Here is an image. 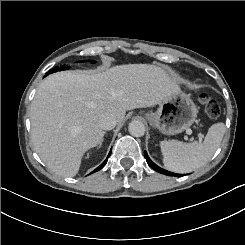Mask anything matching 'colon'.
<instances>
[{"label":"colon","instance_id":"5ec220e1","mask_svg":"<svg viewBox=\"0 0 245 245\" xmlns=\"http://www.w3.org/2000/svg\"><path fill=\"white\" fill-rule=\"evenodd\" d=\"M200 102L205 106V111L208 117L216 119L220 115V106L209 94L201 93L199 95Z\"/></svg>","mask_w":245,"mask_h":245}]
</instances>
